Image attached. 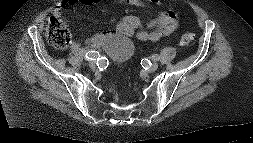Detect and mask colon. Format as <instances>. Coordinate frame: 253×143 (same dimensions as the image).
I'll list each match as a JSON object with an SVG mask.
<instances>
[{"instance_id": "colon-1", "label": "colon", "mask_w": 253, "mask_h": 143, "mask_svg": "<svg viewBox=\"0 0 253 143\" xmlns=\"http://www.w3.org/2000/svg\"><path fill=\"white\" fill-rule=\"evenodd\" d=\"M46 37L48 42L59 50L67 48L72 38L68 26L56 16H51L47 21ZM192 39V34H184L181 36L179 43L181 46H187Z\"/></svg>"}]
</instances>
